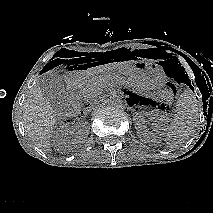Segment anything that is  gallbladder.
<instances>
[{
	"label": "gallbladder",
	"instance_id": "bac80fb5",
	"mask_svg": "<svg viewBox=\"0 0 213 213\" xmlns=\"http://www.w3.org/2000/svg\"><path fill=\"white\" fill-rule=\"evenodd\" d=\"M38 84L42 95L56 112H67L70 109L64 83L58 73L53 72L52 74L42 75L38 80Z\"/></svg>",
	"mask_w": 213,
	"mask_h": 213
}]
</instances>
